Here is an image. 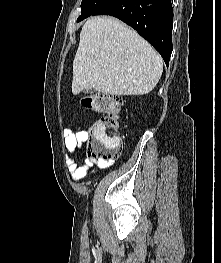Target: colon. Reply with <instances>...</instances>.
<instances>
[{
	"label": "colon",
	"instance_id": "colon-1",
	"mask_svg": "<svg viewBox=\"0 0 221 263\" xmlns=\"http://www.w3.org/2000/svg\"><path fill=\"white\" fill-rule=\"evenodd\" d=\"M80 104L85 109L102 114L88 129V155L93 159L117 158L121 151L119 126L122 99L116 95L98 93L82 96Z\"/></svg>",
	"mask_w": 221,
	"mask_h": 263
}]
</instances>
